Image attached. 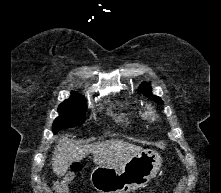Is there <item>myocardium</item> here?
<instances>
[{"instance_id": "1", "label": "myocardium", "mask_w": 221, "mask_h": 193, "mask_svg": "<svg viewBox=\"0 0 221 193\" xmlns=\"http://www.w3.org/2000/svg\"><path fill=\"white\" fill-rule=\"evenodd\" d=\"M146 115L151 119L155 120L156 119V113L155 110L152 107H148L146 110Z\"/></svg>"}]
</instances>
